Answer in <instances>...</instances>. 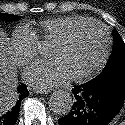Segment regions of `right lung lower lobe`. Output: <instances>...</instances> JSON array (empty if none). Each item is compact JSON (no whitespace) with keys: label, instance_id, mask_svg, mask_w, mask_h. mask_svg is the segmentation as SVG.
I'll list each match as a JSON object with an SVG mask.
<instances>
[{"label":"right lung lower lobe","instance_id":"1","mask_svg":"<svg viewBox=\"0 0 125 125\" xmlns=\"http://www.w3.org/2000/svg\"><path fill=\"white\" fill-rule=\"evenodd\" d=\"M19 100L10 105L5 112L0 115V125H15L20 110V100L26 98L29 94L25 85H19L17 88Z\"/></svg>","mask_w":125,"mask_h":125}]
</instances>
